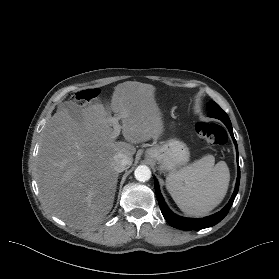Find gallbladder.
<instances>
[{"label":"gallbladder","mask_w":279,"mask_h":279,"mask_svg":"<svg viewBox=\"0 0 279 279\" xmlns=\"http://www.w3.org/2000/svg\"><path fill=\"white\" fill-rule=\"evenodd\" d=\"M64 106H66L67 108H69L70 110V115L76 120V121H80L81 120V110L79 107L76 106H72L70 104H63ZM61 105V106H63ZM71 106V108H70Z\"/></svg>","instance_id":"bac80fb5"}]
</instances>
